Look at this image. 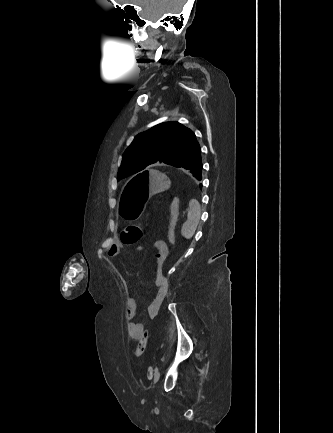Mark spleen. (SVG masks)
Segmentation results:
<instances>
[{"label": "spleen", "mask_w": 333, "mask_h": 433, "mask_svg": "<svg viewBox=\"0 0 333 433\" xmlns=\"http://www.w3.org/2000/svg\"><path fill=\"white\" fill-rule=\"evenodd\" d=\"M189 207L188 219L181 228V234L186 239L192 238L195 234L201 215L200 205L196 200L191 201Z\"/></svg>", "instance_id": "3e777b00"}]
</instances>
